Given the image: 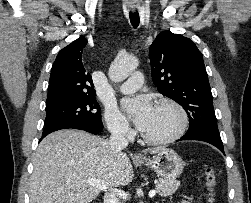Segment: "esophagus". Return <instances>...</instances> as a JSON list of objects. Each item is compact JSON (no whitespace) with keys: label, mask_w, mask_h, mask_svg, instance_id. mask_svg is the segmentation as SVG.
I'll return each instance as SVG.
<instances>
[{"label":"esophagus","mask_w":251,"mask_h":203,"mask_svg":"<svg viewBox=\"0 0 251 203\" xmlns=\"http://www.w3.org/2000/svg\"><path fill=\"white\" fill-rule=\"evenodd\" d=\"M135 158H141V155L140 154H136Z\"/></svg>","instance_id":"34e87169"}]
</instances>
